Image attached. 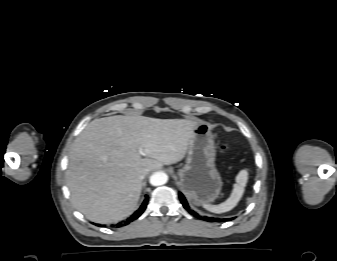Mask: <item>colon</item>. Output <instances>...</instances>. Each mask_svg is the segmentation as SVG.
Returning a JSON list of instances; mask_svg holds the SVG:
<instances>
[{
  "mask_svg": "<svg viewBox=\"0 0 337 261\" xmlns=\"http://www.w3.org/2000/svg\"><path fill=\"white\" fill-rule=\"evenodd\" d=\"M226 150H227V147H223V148L220 150V154L226 152Z\"/></svg>",
  "mask_w": 337,
  "mask_h": 261,
  "instance_id": "obj_1",
  "label": "colon"
}]
</instances>
